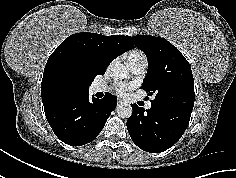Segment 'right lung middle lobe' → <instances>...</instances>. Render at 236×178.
Instances as JSON below:
<instances>
[{
  "label": "right lung middle lobe",
  "instance_id": "1",
  "mask_svg": "<svg viewBox=\"0 0 236 178\" xmlns=\"http://www.w3.org/2000/svg\"><path fill=\"white\" fill-rule=\"evenodd\" d=\"M94 78V74L81 69H65L60 72L55 79V92L63 97L88 92V87L91 85Z\"/></svg>",
  "mask_w": 236,
  "mask_h": 178
}]
</instances>
